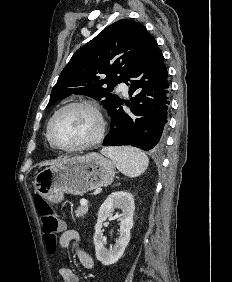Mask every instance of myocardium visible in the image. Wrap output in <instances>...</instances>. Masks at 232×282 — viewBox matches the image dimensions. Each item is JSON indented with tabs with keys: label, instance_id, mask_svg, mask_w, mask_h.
Here are the masks:
<instances>
[{
	"label": "myocardium",
	"instance_id": "1",
	"mask_svg": "<svg viewBox=\"0 0 232 282\" xmlns=\"http://www.w3.org/2000/svg\"><path fill=\"white\" fill-rule=\"evenodd\" d=\"M73 107H83V108H87V109L91 110L95 114V116L98 120V131L92 139H90V140H88L84 143H81V144H78V145H73V146H63V145H60L59 143H57L55 141V139L53 138L52 126H53L55 119L62 112H64L65 110H67L69 108H73ZM105 129H106L105 120H104L103 115H102L101 111L99 110L98 106L91 101L80 100V101L68 102V103L64 104L63 106H61L59 109H57L48 121L46 134H47V139H48L49 143L53 146V148L60 150V151L71 152V151H81V150L89 149V148L97 145L98 143H100L101 140L104 137Z\"/></svg>",
	"mask_w": 232,
	"mask_h": 282
}]
</instances>
